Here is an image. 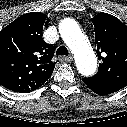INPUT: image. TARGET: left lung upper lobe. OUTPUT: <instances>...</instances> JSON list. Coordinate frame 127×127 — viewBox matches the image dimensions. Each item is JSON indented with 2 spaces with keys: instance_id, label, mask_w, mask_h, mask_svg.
I'll list each match as a JSON object with an SVG mask.
<instances>
[{
  "instance_id": "obj_1",
  "label": "left lung upper lobe",
  "mask_w": 127,
  "mask_h": 127,
  "mask_svg": "<svg viewBox=\"0 0 127 127\" xmlns=\"http://www.w3.org/2000/svg\"><path fill=\"white\" fill-rule=\"evenodd\" d=\"M99 64L97 78L127 86V26L116 17L99 13L92 18Z\"/></svg>"
}]
</instances>
